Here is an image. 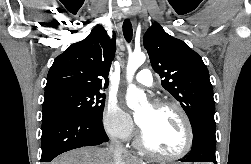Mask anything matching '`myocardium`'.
<instances>
[{
    "label": "myocardium",
    "mask_w": 251,
    "mask_h": 164,
    "mask_svg": "<svg viewBox=\"0 0 251 164\" xmlns=\"http://www.w3.org/2000/svg\"><path fill=\"white\" fill-rule=\"evenodd\" d=\"M152 106L156 108H171L174 109L179 114L186 130V142L183 149L178 153L175 154L163 153L154 149L147 143L143 130L141 127H139L138 137H137V143L139 147L146 153L162 159L176 160L184 157L186 154L190 152L194 142L193 127L186 111L182 108L180 104L169 100H156L152 103Z\"/></svg>",
    "instance_id": "f54148a6"
}]
</instances>
